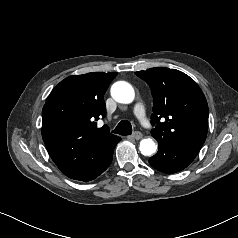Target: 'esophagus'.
<instances>
[{"mask_svg":"<svg viewBox=\"0 0 238 238\" xmlns=\"http://www.w3.org/2000/svg\"><path fill=\"white\" fill-rule=\"evenodd\" d=\"M142 136H143L142 133L137 131L132 135V138L135 139V140H139V139L142 138Z\"/></svg>","mask_w":238,"mask_h":238,"instance_id":"34e87169","label":"esophagus"}]
</instances>
